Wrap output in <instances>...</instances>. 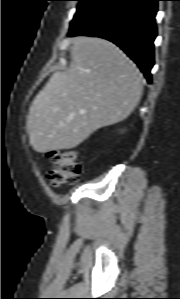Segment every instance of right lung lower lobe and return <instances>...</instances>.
I'll use <instances>...</instances> for the list:
<instances>
[{"label": "right lung lower lobe", "instance_id": "right-lung-lower-lobe-1", "mask_svg": "<svg viewBox=\"0 0 180 299\" xmlns=\"http://www.w3.org/2000/svg\"><path fill=\"white\" fill-rule=\"evenodd\" d=\"M159 0H105L70 27V37H101L119 46L151 83Z\"/></svg>", "mask_w": 180, "mask_h": 299}]
</instances>
